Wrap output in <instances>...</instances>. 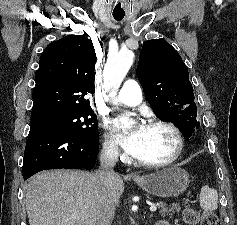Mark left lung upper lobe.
<instances>
[{
  "label": "left lung upper lobe",
  "instance_id": "5c2ea615",
  "mask_svg": "<svg viewBox=\"0 0 237 225\" xmlns=\"http://www.w3.org/2000/svg\"><path fill=\"white\" fill-rule=\"evenodd\" d=\"M137 77L158 118L172 122L184 134L197 124V108L186 65L164 39L143 44Z\"/></svg>",
  "mask_w": 237,
  "mask_h": 225
}]
</instances>
